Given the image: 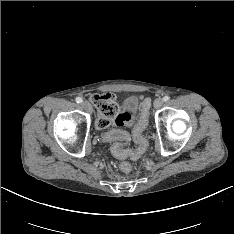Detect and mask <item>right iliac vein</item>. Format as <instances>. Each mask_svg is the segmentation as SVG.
I'll list each match as a JSON object with an SVG mask.
<instances>
[{
    "label": "right iliac vein",
    "mask_w": 234,
    "mask_h": 234,
    "mask_svg": "<svg viewBox=\"0 0 234 234\" xmlns=\"http://www.w3.org/2000/svg\"><path fill=\"white\" fill-rule=\"evenodd\" d=\"M82 107L86 112H89V113L92 112V107L88 101H84L82 103Z\"/></svg>",
    "instance_id": "right-iliac-vein-1"
}]
</instances>
